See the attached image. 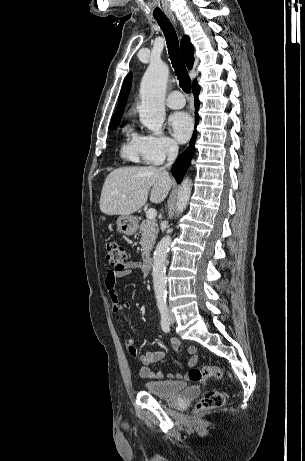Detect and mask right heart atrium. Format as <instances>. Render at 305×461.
<instances>
[{
  "instance_id": "1",
  "label": "right heart atrium",
  "mask_w": 305,
  "mask_h": 461,
  "mask_svg": "<svg viewBox=\"0 0 305 461\" xmlns=\"http://www.w3.org/2000/svg\"><path fill=\"white\" fill-rule=\"evenodd\" d=\"M143 157L150 164H160L177 150L176 142L161 133H150L140 136Z\"/></svg>"
}]
</instances>
